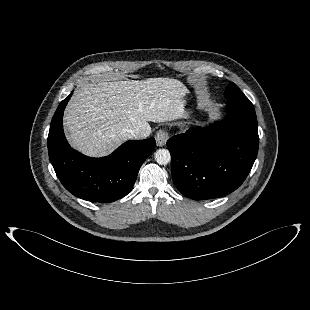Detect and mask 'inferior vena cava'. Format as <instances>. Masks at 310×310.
Wrapping results in <instances>:
<instances>
[{
	"instance_id": "obj_1",
	"label": "inferior vena cava",
	"mask_w": 310,
	"mask_h": 310,
	"mask_svg": "<svg viewBox=\"0 0 310 310\" xmlns=\"http://www.w3.org/2000/svg\"><path fill=\"white\" fill-rule=\"evenodd\" d=\"M127 135L130 139H145L148 136L147 133L139 129L127 130Z\"/></svg>"
}]
</instances>
